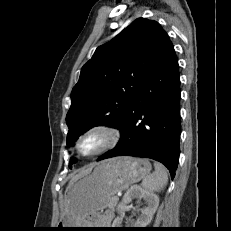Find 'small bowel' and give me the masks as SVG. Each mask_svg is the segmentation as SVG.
I'll return each mask as SVG.
<instances>
[{
    "instance_id": "obj_1",
    "label": "small bowel",
    "mask_w": 231,
    "mask_h": 231,
    "mask_svg": "<svg viewBox=\"0 0 231 231\" xmlns=\"http://www.w3.org/2000/svg\"><path fill=\"white\" fill-rule=\"evenodd\" d=\"M112 217H113L112 212L106 211V212H104L103 215H102V220H103L104 222H108V221H110V220L112 219Z\"/></svg>"
}]
</instances>
